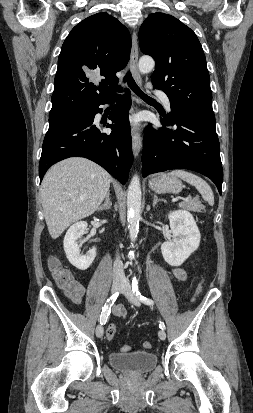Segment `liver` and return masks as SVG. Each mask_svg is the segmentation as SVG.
I'll return each instance as SVG.
<instances>
[{"mask_svg":"<svg viewBox=\"0 0 253 413\" xmlns=\"http://www.w3.org/2000/svg\"><path fill=\"white\" fill-rule=\"evenodd\" d=\"M110 174L80 157L53 165L41 184L40 195L49 234L58 238L71 224L93 214L109 192Z\"/></svg>","mask_w":253,"mask_h":413,"instance_id":"obj_1","label":"liver"}]
</instances>
